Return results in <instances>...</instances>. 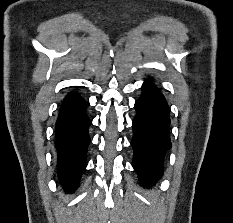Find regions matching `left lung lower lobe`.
I'll return each mask as SVG.
<instances>
[{"label":"left lung lower lobe","mask_w":233,"mask_h":223,"mask_svg":"<svg viewBox=\"0 0 233 223\" xmlns=\"http://www.w3.org/2000/svg\"><path fill=\"white\" fill-rule=\"evenodd\" d=\"M142 95L135 103L137 111L133 120V167L142 185L150 186L162 175L163 158L171 148L169 137V109L167 102L152 83V78L142 85Z\"/></svg>","instance_id":"left-lung-lower-lobe-1"}]
</instances>
